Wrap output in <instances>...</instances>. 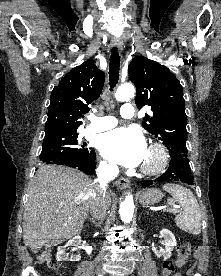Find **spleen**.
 Segmentation results:
<instances>
[{
    "instance_id": "obj_1",
    "label": "spleen",
    "mask_w": 221,
    "mask_h": 276,
    "mask_svg": "<svg viewBox=\"0 0 221 276\" xmlns=\"http://www.w3.org/2000/svg\"><path fill=\"white\" fill-rule=\"evenodd\" d=\"M162 188L170 193L173 199L183 208L184 213L175 217L176 225L189 234H200L202 217L199 204L193 192L174 183L165 184Z\"/></svg>"
}]
</instances>
